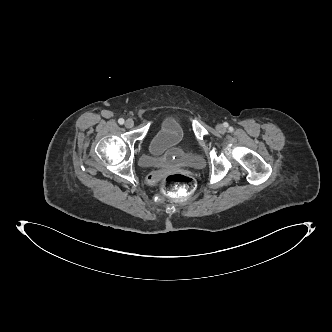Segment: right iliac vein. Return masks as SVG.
<instances>
[{
    "label": "right iliac vein",
    "instance_id": "obj_1",
    "mask_svg": "<svg viewBox=\"0 0 332 332\" xmlns=\"http://www.w3.org/2000/svg\"><path fill=\"white\" fill-rule=\"evenodd\" d=\"M134 126V121L132 119H127L125 122L126 128H132Z\"/></svg>",
    "mask_w": 332,
    "mask_h": 332
}]
</instances>
